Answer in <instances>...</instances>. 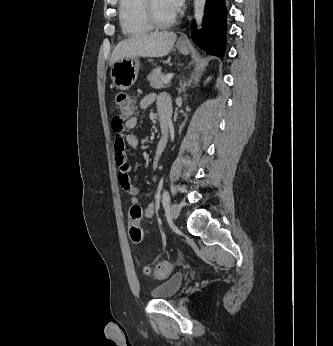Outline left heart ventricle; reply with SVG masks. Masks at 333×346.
<instances>
[{
  "instance_id": "obj_1",
  "label": "left heart ventricle",
  "mask_w": 333,
  "mask_h": 346,
  "mask_svg": "<svg viewBox=\"0 0 333 346\" xmlns=\"http://www.w3.org/2000/svg\"><path fill=\"white\" fill-rule=\"evenodd\" d=\"M156 14L162 19H167L173 14L165 6L164 0H153Z\"/></svg>"
}]
</instances>
